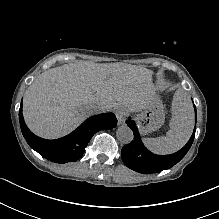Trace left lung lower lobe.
<instances>
[{
	"label": "left lung lower lobe",
	"instance_id": "obj_1",
	"mask_svg": "<svg viewBox=\"0 0 219 219\" xmlns=\"http://www.w3.org/2000/svg\"><path fill=\"white\" fill-rule=\"evenodd\" d=\"M194 108L195 121L197 122L196 107L194 106ZM126 123L133 130L134 140L122 148V160L127 167L142 174L156 173L174 166L186 155L193 143L195 136L194 132L187 144L174 154L156 155L147 150L143 145L135 122L131 119H128Z\"/></svg>",
	"mask_w": 219,
	"mask_h": 219
}]
</instances>
